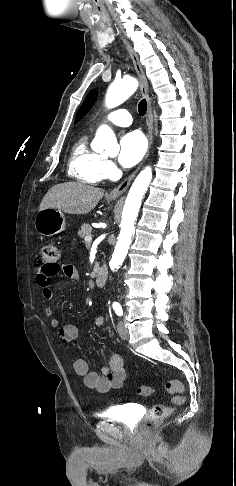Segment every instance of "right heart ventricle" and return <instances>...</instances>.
Instances as JSON below:
<instances>
[{"instance_id": "right-heart-ventricle-1", "label": "right heart ventricle", "mask_w": 236, "mask_h": 486, "mask_svg": "<svg viewBox=\"0 0 236 486\" xmlns=\"http://www.w3.org/2000/svg\"><path fill=\"white\" fill-rule=\"evenodd\" d=\"M104 159L88 145V137L81 136L73 145L68 160V174L83 183L98 184L104 179Z\"/></svg>"}]
</instances>
